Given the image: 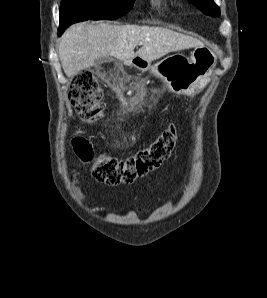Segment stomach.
I'll list each match as a JSON object with an SVG mask.
<instances>
[{"label":"stomach","mask_w":267,"mask_h":298,"mask_svg":"<svg viewBox=\"0 0 267 298\" xmlns=\"http://www.w3.org/2000/svg\"><path fill=\"white\" fill-rule=\"evenodd\" d=\"M216 47H195L190 57L172 55L151 65L149 61L135 58L129 64L141 71H150L160 78L167 88L178 95H195L210 80L217 63Z\"/></svg>","instance_id":"stomach-1"}]
</instances>
